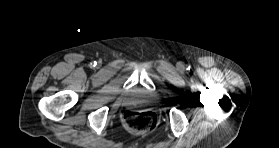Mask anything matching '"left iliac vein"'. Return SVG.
Segmentation results:
<instances>
[{
    "mask_svg": "<svg viewBox=\"0 0 279 148\" xmlns=\"http://www.w3.org/2000/svg\"><path fill=\"white\" fill-rule=\"evenodd\" d=\"M178 67L181 69L183 68V65L181 63H178Z\"/></svg>",
    "mask_w": 279,
    "mask_h": 148,
    "instance_id": "left-iliac-vein-1",
    "label": "left iliac vein"
}]
</instances>
